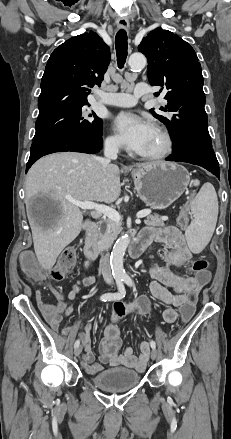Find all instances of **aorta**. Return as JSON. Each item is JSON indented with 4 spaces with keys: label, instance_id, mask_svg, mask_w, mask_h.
<instances>
[{
    "label": "aorta",
    "instance_id": "aorta-1",
    "mask_svg": "<svg viewBox=\"0 0 231 439\" xmlns=\"http://www.w3.org/2000/svg\"><path fill=\"white\" fill-rule=\"evenodd\" d=\"M146 62V57L141 53L132 54L128 60V64L133 70L144 68ZM129 243L130 236L123 235L114 244L110 257V264L114 278H123L126 276L123 266V258Z\"/></svg>",
    "mask_w": 231,
    "mask_h": 439
}]
</instances>
